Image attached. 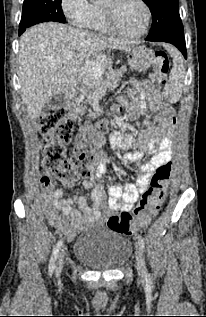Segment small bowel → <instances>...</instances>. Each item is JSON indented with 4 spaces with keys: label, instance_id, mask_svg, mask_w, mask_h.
<instances>
[{
    "label": "small bowel",
    "instance_id": "small-bowel-1",
    "mask_svg": "<svg viewBox=\"0 0 206 317\" xmlns=\"http://www.w3.org/2000/svg\"><path fill=\"white\" fill-rule=\"evenodd\" d=\"M130 83L135 93L127 106V117L129 120H136L143 115L146 127L137 136L115 131L111 135L110 144L115 149L128 151L123 159L135 163L132 172L138 177V181L126 184L124 189L113 184L106 196L101 183L102 175L106 172V158L103 153H99L89 179L82 181L84 188L89 190L91 205L86 196L64 198L62 189L44 195L41 206L47 220L70 239L86 226L103 225L116 211H130L139 195L146 190L153 172L171 159L173 108L152 80L131 79ZM122 102L126 104L125 99ZM134 147H138V150H131ZM146 155L151 156L150 161L140 163ZM74 184L75 182H71L66 185Z\"/></svg>",
    "mask_w": 206,
    "mask_h": 317
}]
</instances>
